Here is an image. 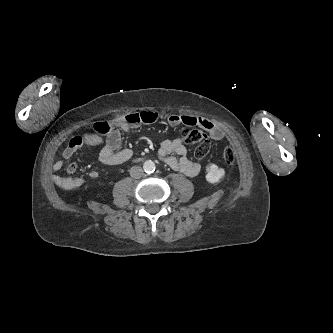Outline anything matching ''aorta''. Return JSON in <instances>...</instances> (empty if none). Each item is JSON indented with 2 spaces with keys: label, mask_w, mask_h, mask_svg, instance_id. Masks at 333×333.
I'll use <instances>...</instances> for the list:
<instances>
[{
  "label": "aorta",
  "mask_w": 333,
  "mask_h": 333,
  "mask_svg": "<svg viewBox=\"0 0 333 333\" xmlns=\"http://www.w3.org/2000/svg\"><path fill=\"white\" fill-rule=\"evenodd\" d=\"M143 169L146 173H153L156 169L155 163L152 160H146L143 163Z\"/></svg>",
  "instance_id": "1"
}]
</instances>
